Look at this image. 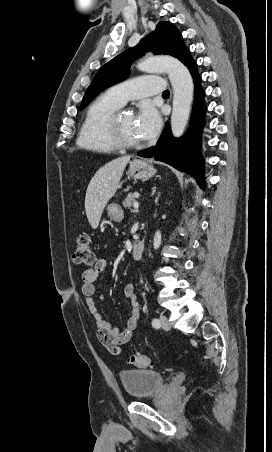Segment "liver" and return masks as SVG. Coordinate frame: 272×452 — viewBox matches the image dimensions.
I'll return each mask as SVG.
<instances>
[{
  "mask_svg": "<svg viewBox=\"0 0 272 452\" xmlns=\"http://www.w3.org/2000/svg\"><path fill=\"white\" fill-rule=\"evenodd\" d=\"M130 156L116 158L101 167L91 179L85 196V210L93 229H97L103 210L118 190Z\"/></svg>",
  "mask_w": 272,
  "mask_h": 452,
  "instance_id": "obj_1",
  "label": "liver"
}]
</instances>
